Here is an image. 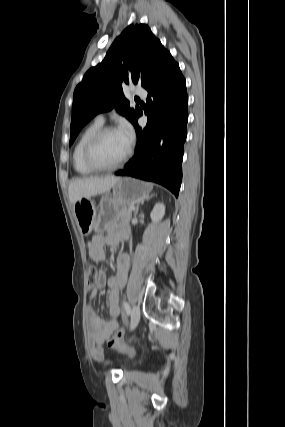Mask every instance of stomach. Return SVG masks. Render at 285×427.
<instances>
[{
	"instance_id": "0dacf381",
	"label": "stomach",
	"mask_w": 285,
	"mask_h": 427,
	"mask_svg": "<svg viewBox=\"0 0 285 427\" xmlns=\"http://www.w3.org/2000/svg\"><path fill=\"white\" fill-rule=\"evenodd\" d=\"M152 184L134 178H120L113 186L112 195H105L96 206L90 198H82L74 204L78 226L83 233H103L119 219L121 207L137 198L147 197Z\"/></svg>"
}]
</instances>
